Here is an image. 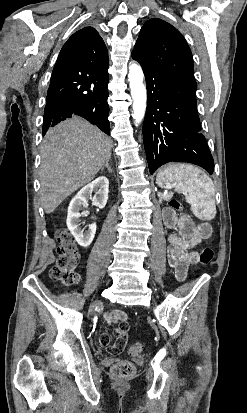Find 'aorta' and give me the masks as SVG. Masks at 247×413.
<instances>
[{
  "label": "aorta",
  "instance_id": "obj_1",
  "mask_svg": "<svg viewBox=\"0 0 247 413\" xmlns=\"http://www.w3.org/2000/svg\"><path fill=\"white\" fill-rule=\"evenodd\" d=\"M128 78L133 99L132 117L137 126L144 118L147 101L146 88L143 84L144 74L141 66L138 64H130Z\"/></svg>",
  "mask_w": 247,
  "mask_h": 413
}]
</instances>
